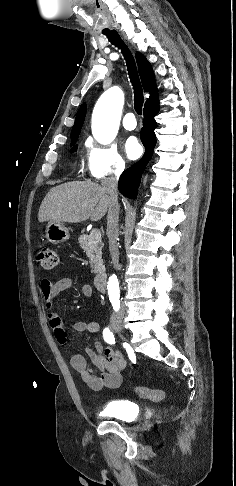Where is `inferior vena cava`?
I'll use <instances>...</instances> for the list:
<instances>
[{"instance_id": "1", "label": "inferior vena cava", "mask_w": 236, "mask_h": 486, "mask_svg": "<svg viewBox=\"0 0 236 486\" xmlns=\"http://www.w3.org/2000/svg\"><path fill=\"white\" fill-rule=\"evenodd\" d=\"M125 168L124 161H118L115 165V170L112 171L110 177L102 180V187L106 189L109 194V208L107 214V236L109 240V251L112 258V263L115 269H119V251H118V222H119V204L117 194V182L119 176Z\"/></svg>"}]
</instances>
